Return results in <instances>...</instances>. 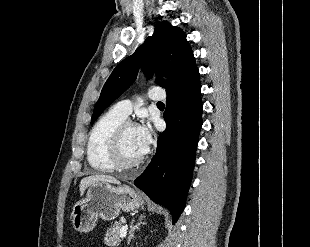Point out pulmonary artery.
I'll list each match as a JSON object with an SVG mask.
<instances>
[{
  "mask_svg": "<svg viewBox=\"0 0 310 247\" xmlns=\"http://www.w3.org/2000/svg\"><path fill=\"white\" fill-rule=\"evenodd\" d=\"M149 97L153 101H162L165 98V94L162 91V88L155 87L149 91ZM114 108L123 116L127 117L132 110V101L131 100H122L118 102Z\"/></svg>",
  "mask_w": 310,
  "mask_h": 247,
  "instance_id": "obj_1",
  "label": "pulmonary artery"
}]
</instances>
